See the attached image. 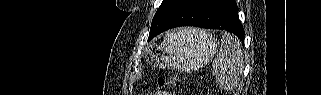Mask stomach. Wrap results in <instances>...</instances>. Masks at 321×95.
<instances>
[{
  "label": "stomach",
  "mask_w": 321,
  "mask_h": 95,
  "mask_svg": "<svg viewBox=\"0 0 321 95\" xmlns=\"http://www.w3.org/2000/svg\"><path fill=\"white\" fill-rule=\"evenodd\" d=\"M216 48L211 35L187 28L167 32L162 42L153 44L149 58L155 66L191 71L210 61Z\"/></svg>",
  "instance_id": "0dacf381"
}]
</instances>
